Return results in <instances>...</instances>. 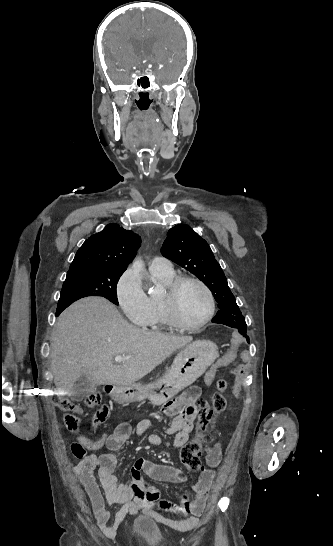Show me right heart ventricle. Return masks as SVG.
I'll return each instance as SVG.
<instances>
[{
  "instance_id": "obj_1",
  "label": "right heart ventricle",
  "mask_w": 333,
  "mask_h": 546,
  "mask_svg": "<svg viewBox=\"0 0 333 546\" xmlns=\"http://www.w3.org/2000/svg\"><path fill=\"white\" fill-rule=\"evenodd\" d=\"M153 277L160 282L163 286L167 287L170 285L173 280L176 278V275L173 272L171 273H159V272H151ZM150 305H151V313L148 317L147 321L144 323V325L153 331H164L171 327V325L168 323L162 307H161V298L159 297H149Z\"/></svg>"
}]
</instances>
